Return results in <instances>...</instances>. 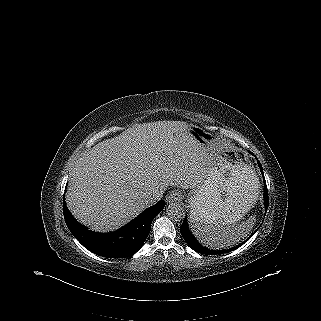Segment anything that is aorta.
<instances>
[{"label":"aorta","instance_id":"762f6f07","mask_svg":"<svg viewBox=\"0 0 321 321\" xmlns=\"http://www.w3.org/2000/svg\"><path fill=\"white\" fill-rule=\"evenodd\" d=\"M166 214L169 218L175 221H179L184 218L185 216V209L179 203H171L168 205Z\"/></svg>","mask_w":321,"mask_h":321}]
</instances>
